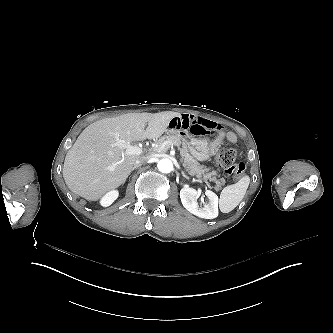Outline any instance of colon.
Instances as JSON below:
<instances>
[{
  "label": "colon",
  "mask_w": 333,
  "mask_h": 333,
  "mask_svg": "<svg viewBox=\"0 0 333 333\" xmlns=\"http://www.w3.org/2000/svg\"><path fill=\"white\" fill-rule=\"evenodd\" d=\"M237 149L229 146L220 150L216 157L215 163L223 170L226 175L241 176L246 168L243 161L236 162Z\"/></svg>",
  "instance_id": "colon-1"
}]
</instances>
